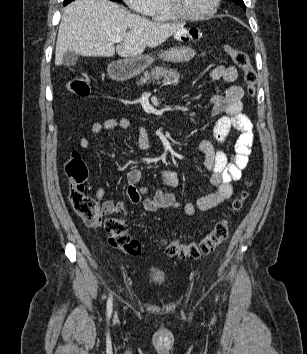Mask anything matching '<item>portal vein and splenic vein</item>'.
Listing matches in <instances>:
<instances>
[{"instance_id":"obj_1","label":"portal vein and splenic vein","mask_w":307,"mask_h":354,"mask_svg":"<svg viewBox=\"0 0 307 354\" xmlns=\"http://www.w3.org/2000/svg\"><path fill=\"white\" fill-rule=\"evenodd\" d=\"M113 43H121L123 41V38L120 36H113L110 39Z\"/></svg>"}]
</instances>
